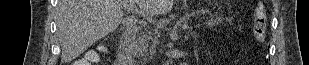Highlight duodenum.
I'll return each mask as SVG.
<instances>
[{
	"instance_id": "410a0bca",
	"label": "duodenum",
	"mask_w": 309,
	"mask_h": 65,
	"mask_svg": "<svg viewBox=\"0 0 309 65\" xmlns=\"http://www.w3.org/2000/svg\"><path fill=\"white\" fill-rule=\"evenodd\" d=\"M134 37L132 31L123 33L118 46V60L120 65H135L132 61Z\"/></svg>"
}]
</instances>
